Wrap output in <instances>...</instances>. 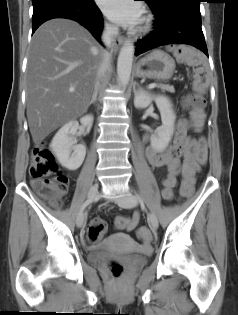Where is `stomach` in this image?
<instances>
[{
  "label": "stomach",
  "mask_w": 238,
  "mask_h": 315,
  "mask_svg": "<svg viewBox=\"0 0 238 315\" xmlns=\"http://www.w3.org/2000/svg\"><path fill=\"white\" fill-rule=\"evenodd\" d=\"M175 70L174 59L162 50H154L136 65V75L142 78L168 80Z\"/></svg>",
  "instance_id": "obj_1"
}]
</instances>
